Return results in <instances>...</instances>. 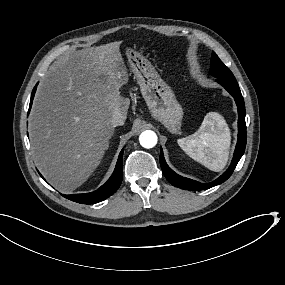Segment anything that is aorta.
Instances as JSON below:
<instances>
[{"mask_svg":"<svg viewBox=\"0 0 285 285\" xmlns=\"http://www.w3.org/2000/svg\"><path fill=\"white\" fill-rule=\"evenodd\" d=\"M139 141L144 148H153L157 144V135L154 131L146 130L140 134Z\"/></svg>","mask_w":285,"mask_h":285,"instance_id":"762f6f07","label":"aorta"}]
</instances>
